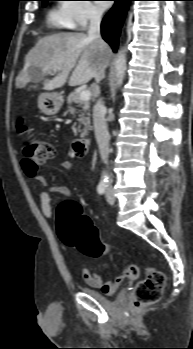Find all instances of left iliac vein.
<instances>
[{"label":"left iliac vein","mask_w":193,"mask_h":349,"mask_svg":"<svg viewBox=\"0 0 193 349\" xmlns=\"http://www.w3.org/2000/svg\"><path fill=\"white\" fill-rule=\"evenodd\" d=\"M106 199L110 204H113L115 202V195L112 189L107 190Z\"/></svg>","instance_id":"obj_1"}]
</instances>
